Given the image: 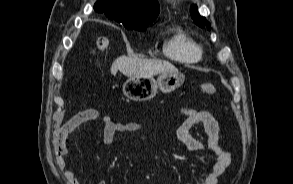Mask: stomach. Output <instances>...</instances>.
I'll return each mask as SVG.
<instances>
[{
	"instance_id": "0dacf381",
	"label": "stomach",
	"mask_w": 293,
	"mask_h": 184,
	"mask_svg": "<svg viewBox=\"0 0 293 184\" xmlns=\"http://www.w3.org/2000/svg\"><path fill=\"white\" fill-rule=\"evenodd\" d=\"M184 81V75L179 72H164L157 79L153 76H132L123 84V93L130 100L142 102L152 99L158 89L163 93H170Z\"/></svg>"
}]
</instances>
